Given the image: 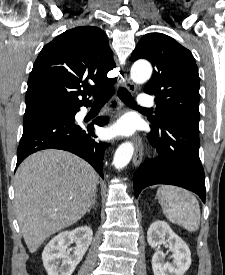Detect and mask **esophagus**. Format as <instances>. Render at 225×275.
<instances>
[{"instance_id": "34e87169", "label": "esophagus", "mask_w": 225, "mask_h": 275, "mask_svg": "<svg viewBox=\"0 0 225 275\" xmlns=\"http://www.w3.org/2000/svg\"><path fill=\"white\" fill-rule=\"evenodd\" d=\"M125 86L128 88L129 91L135 92L136 86L134 83L129 79L127 74L125 75ZM142 156H143V145H142V140L140 138H136V144H135V153L133 156V164L135 166L140 165L142 161Z\"/></svg>"}]
</instances>
